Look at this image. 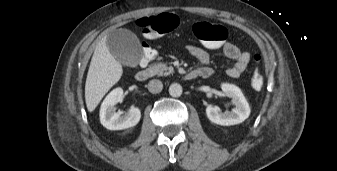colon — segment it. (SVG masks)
<instances>
[{
    "mask_svg": "<svg viewBox=\"0 0 337 171\" xmlns=\"http://www.w3.org/2000/svg\"><path fill=\"white\" fill-rule=\"evenodd\" d=\"M137 24L147 37L156 38L175 30L179 26V19L175 15L165 13L157 16L143 17L138 20ZM192 32L198 40L207 43L211 47L221 45L227 39L228 35L224 26L208 22L195 23ZM141 50L144 53V62L150 61L157 55V50L150 40L142 42ZM253 58L256 64H258L261 59L258 53H254ZM251 84L255 89L262 88L264 84V77L259 66H256L253 71Z\"/></svg>",
    "mask_w": 337,
    "mask_h": 171,
    "instance_id": "colon-1",
    "label": "colon"
}]
</instances>
